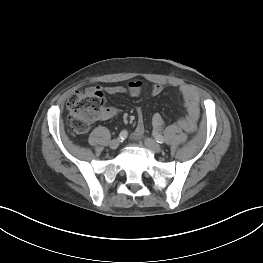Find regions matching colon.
<instances>
[{"instance_id":"colon-1","label":"colon","mask_w":263,"mask_h":263,"mask_svg":"<svg viewBox=\"0 0 263 263\" xmlns=\"http://www.w3.org/2000/svg\"><path fill=\"white\" fill-rule=\"evenodd\" d=\"M104 102V95L98 89L89 88L72 94L67 103L72 133L75 135L86 133L90 124L102 115Z\"/></svg>"}]
</instances>
